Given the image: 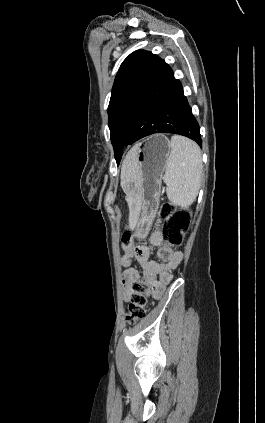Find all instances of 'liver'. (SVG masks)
I'll return each instance as SVG.
<instances>
[{
	"label": "liver",
	"instance_id": "6515ba94",
	"mask_svg": "<svg viewBox=\"0 0 265 423\" xmlns=\"http://www.w3.org/2000/svg\"><path fill=\"white\" fill-rule=\"evenodd\" d=\"M139 171L136 163L135 147L127 154L121 170L122 184L137 183L139 180ZM130 228H134L137 222V216L134 210L130 212Z\"/></svg>",
	"mask_w": 265,
	"mask_h": 423
}]
</instances>
